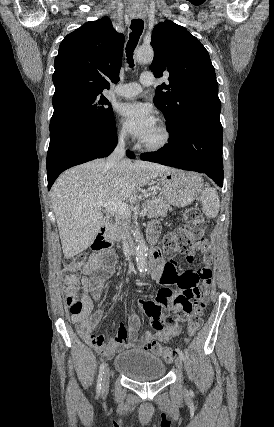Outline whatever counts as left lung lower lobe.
<instances>
[{
  "label": "left lung lower lobe",
  "instance_id": "1",
  "mask_svg": "<svg viewBox=\"0 0 274 427\" xmlns=\"http://www.w3.org/2000/svg\"><path fill=\"white\" fill-rule=\"evenodd\" d=\"M222 140L220 121L200 119L189 124L178 136L170 137L169 143L155 154L141 155L140 158L205 173L222 187Z\"/></svg>",
  "mask_w": 274,
  "mask_h": 427
}]
</instances>
